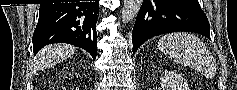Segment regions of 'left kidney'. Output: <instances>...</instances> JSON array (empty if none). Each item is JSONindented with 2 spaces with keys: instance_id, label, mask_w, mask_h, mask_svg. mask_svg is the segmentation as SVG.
Masks as SVG:
<instances>
[{
  "instance_id": "left-kidney-1",
  "label": "left kidney",
  "mask_w": 237,
  "mask_h": 90,
  "mask_svg": "<svg viewBox=\"0 0 237 90\" xmlns=\"http://www.w3.org/2000/svg\"><path fill=\"white\" fill-rule=\"evenodd\" d=\"M161 90H189V86L181 74L174 70H166L161 74Z\"/></svg>"
}]
</instances>
